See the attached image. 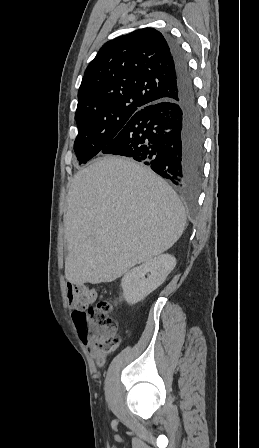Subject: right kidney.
I'll use <instances>...</instances> for the list:
<instances>
[{
    "label": "right kidney",
    "instance_id": "1",
    "mask_svg": "<svg viewBox=\"0 0 259 448\" xmlns=\"http://www.w3.org/2000/svg\"><path fill=\"white\" fill-rule=\"evenodd\" d=\"M175 266L176 258L174 256L162 254V256H157L150 262H145L142 266L133 268L121 280L124 300L127 304L141 302L148 294L154 292L165 282L168 274L174 270Z\"/></svg>",
    "mask_w": 259,
    "mask_h": 448
}]
</instances>
